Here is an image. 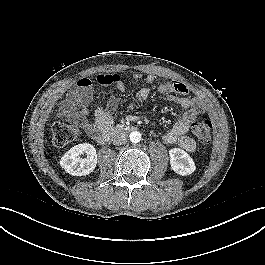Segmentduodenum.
<instances>
[{
    "label": "duodenum",
    "mask_w": 265,
    "mask_h": 265,
    "mask_svg": "<svg viewBox=\"0 0 265 265\" xmlns=\"http://www.w3.org/2000/svg\"><path fill=\"white\" fill-rule=\"evenodd\" d=\"M135 130L136 127L134 125L118 124L115 127H109L103 131L95 133L93 137L96 138L98 143L106 144L120 134L133 132Z\"/></svg>",
    "instance_id": "obj_1"
}]
</instances>
